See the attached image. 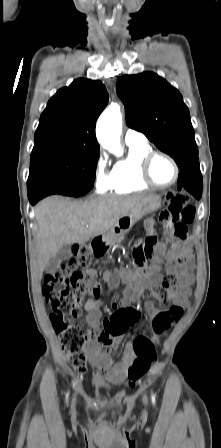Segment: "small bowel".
Returning <instances> with one entry per match:
<instances>
[{
    "label": "small bowel",
    "mask_w": 221,
    "mask_h": 448,
    "mask_svg": "<svg viewBox=\"0 0 221 448\" xmlns=\"http://www.w3.org/2000/svg\"><path fill=\"white\" fill-rule=\"evenodd\" d=\"M146 228L149 233H154L153 223L151 221H147ZM154 249L159 256L167 260L168 270L177 273L179 276L180 284L178 289L173 293V303L179 306H186L190 292L189 286L193 281L189 261L191 255L190 241L188 238L185 240H175L169 253H166V247L162 241L156 242ZM178 257H182V259L178 261ZM137 269L142 274V278L132 277L127 279L120 272L105 274V280L111 289L115 288L121 280L128 281L127 286L122 291V298L119 302L120 308L115 309L111 316L105 320V323L110 326L109 329L105 331L101 329L102 301L99 298L100 289L97 290L95 297L87 298L84 301L86 322L92 333V339L86 347V357L99 373L104 374L110 381L115 383H120L125 379L130 365L136 358L134 349L136 341H134L133 345L127 344L125 346L123 356L120 360L115 361L109 355V352L117 349L118 343L130 326L128 324L129 316L127 311L136 300L139 287H156L161 281L160 276L154 270L147 269L139 263H137ZM145 309L153 318H156L162 312L151 301L146 303ZM138 338L156 344L159 343V338L154 336L151 339L143 335L138 336Z\"/></svg>",
    "instance_id": "c3829d8e"
}]
</instances>
